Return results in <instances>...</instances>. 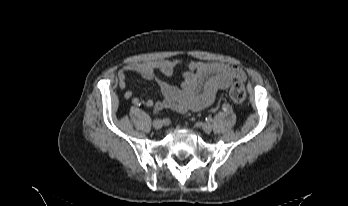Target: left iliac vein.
<instances>
[{
    "instance_id": "left-iliac-vein-1",
    "label": "left iliac vein",
    "mask_w": 348,
    "mask_h": 206,
    "mask_svg": "<svg viewBox=\"0 0 348 206\" xmlns=\"http://www.w3.org/2000/svg\"><path fill=\"white\" fill-rule=\"evenodd\" d=\"M201 128L205 133H210L212 131V125L210 123H201Z\"/></svg>"
}]
</instances>
